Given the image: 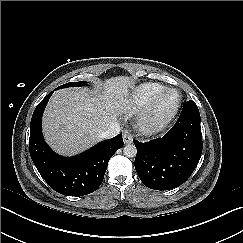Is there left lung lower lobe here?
I'll return each instance as SVG.
<instances>
[{
  "label": "left lung lower lobe",
  "instance_id": "left-lung-lower-lobe-1",
  "mask_svg": "<svg viewBox=\"0 0 243 243\" xmlns=\"http://www.w3.org/2000/svg\"><path fill=\"white\" fill-rule=\"evenodd\" d=\"M134 143L135 169L145 186L154 190L180 186L190 177L202 153L198 107L183 106L179 119L162 138Z\"/></svg>",
  "mask_w": 243,
  "mask_h": 243
}]
</instances>
